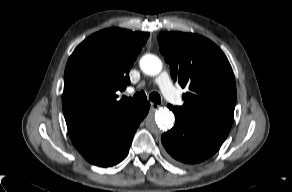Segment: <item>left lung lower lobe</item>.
Here are the masks:
<instances>
[{
  "label": "left lung lower lobe",
  "mask_w": 292,
  "mask_h": 192,
  "mask_svg": "<svg viewBox=\"0 0 292 192\" xmlns=\"http://www.w3.org/2000/svg\"><path fill=\"white\" fill-rule=\"evenodd\" d=\"M171 109V105H168ZM230 129L176 117L175 126L161 137L163 146L177 162L195 164L215 154Z\"/></svg>",
  "instance_id": "1"
}]
</instances>
